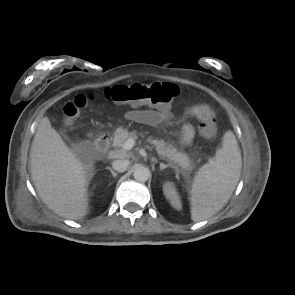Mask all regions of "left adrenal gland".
I'll return each mask as SVG.
<instances>
[{"label":"left adrenal gland","mask_w":295,"mask_h":295,"mask_svg":"<svg viewBox=\"0 0 295 295\" xmlns=\"http://www.w3.org/2000/svg\"><path fill=\"white\" fill-rule=\"evenodd\" d=\"M172 167L171 164H164V163H160V170H164L166 168Z\"/></svg>","instance_id":"1"}]
</instances>
